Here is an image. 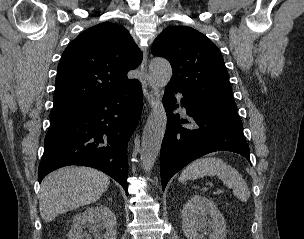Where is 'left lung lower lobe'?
I'll return each instance as SVG.
<instances>
[{
    "instance_id": "obj_1",
    "label": "left lung lower lobe",
    "mask_w": 304,
    "mask_h": 239,
    "mask_svg": "<svg viewBox=\"0 0 304 239\" xmlns=\"http://www.w3.org/2000/svg\"><path fill=\"white\" fill-rule=\"evenodd\" d=\"M174 89L167 87L163 103L167 112V128L160 153L162 189L170 178L191 161L214 151H231L247 158L250 150L245 140L242 121L237 112L181 100L192 128H185L187 120L180 119L173 111L179 105L172 96Z\"/></svg>"
}]
</instances>
